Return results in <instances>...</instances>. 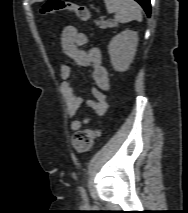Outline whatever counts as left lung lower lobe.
Returning a JSON list of instances; mask_svg holds the SVG:
<instances>
[{
	"instance_id": "0a47b994",
	"label": "left lung lower lobe",
	"mask_w": 188,
	"mask_h": 213,
	"mask_svg": "<svg viewBox=\"0 0 188 213\" xmlns=\"http://www.w3.org/2000/svg\"><path fill=\"white\" fill-rule=\"evenodd\" d=\"M137 1L146 11L147 15L150 16V0H135Z\"/></svg>"
}]
</instances>
